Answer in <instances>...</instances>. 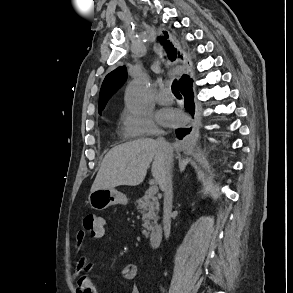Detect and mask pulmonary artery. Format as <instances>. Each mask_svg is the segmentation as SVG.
Masks as SVG:
<instances>
[{"mask_svg":"<svg viewBox=\"0 0 293 293\" xmlns=\"http://www.w3.org/2000/svg\"><path fill=\"white\" fill-rule=\"evenodd\" d=\"M157 101L160 104H171L174 101V96L169 88L162 89L158 96Z\"/></svg>","mask_w":293,"mask_h":293,"instance_id":"pulmonary-artery-1","label":"pulmonary artery"}]
</instances>
